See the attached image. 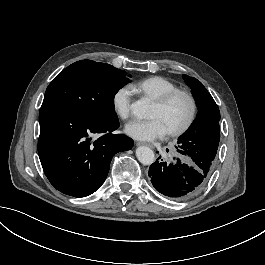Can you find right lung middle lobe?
<instances>
[{
  "instance_id": "right-lung-middle-lobe-1",
  "label": "right lung middle lobe",
  "mask_w": 265,
  "mask_h": 265,
  "mask_svg": "<svg viewBox=\"0 0 265 265\" xmlns=\"http://www.w3.org/2000/svg\"><path fill=\"white\" fill-rule=\"evenodd\" d=\"M130 81L123 70L81 60L65 68L49 84L42 106H58L91 120L115 123L114 96Z\"/></svg>"
}]
</instances>
